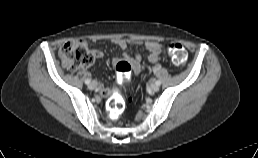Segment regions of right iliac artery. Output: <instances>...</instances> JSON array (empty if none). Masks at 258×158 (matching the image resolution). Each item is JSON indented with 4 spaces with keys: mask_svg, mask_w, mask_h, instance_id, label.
<instances>
[{
    "mask_svg": "<svg viewBox=\"0 0 258 158\" xmlns=\"http://www.w3.org/2000/svg\"><path fill=\"white\" fill-rule=\"evenodd\" d=\"M85 83H86V84H90V80H89V79H86V80H85Z\"/></svg>",
    "mask_w": 258,
    "mask_h": 158,
    "instance_id": "obj_1",
    "label": "right iliac artery"
}]
</instances>
